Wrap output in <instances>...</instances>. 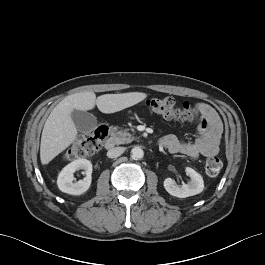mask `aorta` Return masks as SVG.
<instances>
[{
    "instance_id": "1",
    "label": "aorta",
    "mask_w": 265,
    "mask_h": 265,
    "mask_svg": "<svg viewBox=\"0 0 265 265\" xmlns=\"http://www.w3.org/2000/svg\"><path fill=\"white\" fill-rule=\"evenodd\" d=\"M131 155H132V158L134 159H142L144 156V151L140 147H134L131 150Z\"/></svg>"
}]
</instances>
